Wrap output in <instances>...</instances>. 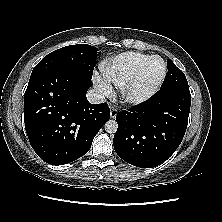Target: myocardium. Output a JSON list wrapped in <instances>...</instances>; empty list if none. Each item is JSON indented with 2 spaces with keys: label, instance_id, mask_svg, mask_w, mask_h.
<instances>
[{
  "label": "myocardium",
  "instance_id": "1",
  "mask_svg": "<svg viewBox=\"0 0 222 222\" xmlns=\"http://www.w3.org/2000/svg\"><path fill=\"white\" fill-rule=\"evenodd\" d=\"M154 59H160L163 63V73L160 77V79L147 91L143 93H137L136 87L138 83L140 82L147 66L149 63ZM167 64L165 60L159 56V55H152L150 56L146 61H144L141 66L138 68L136 73L125 83V85L122 87V95L124 100L132 105H140L147 101H149L151 98H153L161 89L166 76H167Z\"/></svg>",
  "mask_w": 222,
  "mask_h": 222
}]
</instances>
